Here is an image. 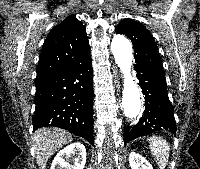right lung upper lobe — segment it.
I'll return each mask as SVG.
<instances>
[{
  "label": "right lung upper lobe",
  "instance_id": "cb5924a9",
  "mask_svg": "<svg viewBox=\"0 0 200 169\" xmlns=\"http://www.w3.org/2000/svg\"><path fill=\"white\" fill-rule=\"evenodd\" d=\"M90 53L85 27L75 15L53 27L45 40L37 66L43 76L74 65Z\"/></svg>",
  "mask_w": 200,
  "mask_h": 169
}]
</instances>
